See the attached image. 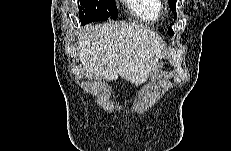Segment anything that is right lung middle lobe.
I'll return each instance as SVG.
<instances>
[{
    "instance_id": "dd1d6c3e",
    "label": "right lung middle lobe",
    "mask_w": 231,
    "mask_h": 151,
    "mask_svg": "<svg viewBox=\"0 0 231 151\" xmlns=\"http://www.w3.org/2000/svg\"><path fill=\"white\" fill-rule=\"evenodd\" d=\"M78 7L79 19L83 24L118 17L115 0H80Z\"/></svg>"
}]
</instances>
